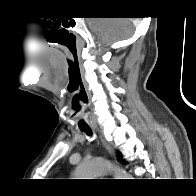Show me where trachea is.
I'll return each instance as SVG.
<instances>
[{
	"instance_id": "obj_1",
	"label": "trachea",
	"mask_w": 196,
	"mask_h": 196,
	"mask_svg": "<svg viewBox=\"0 0 196 196\" xmlns=\"http://www.w3.org/2000/svg\"><path fill=\"white\" fill-rule=\"evenodd\" d=\"M81 131L85 132L87 135H92V131L90 128H80Z\"/></svg>"
}]
</instances>
